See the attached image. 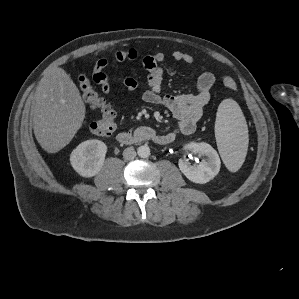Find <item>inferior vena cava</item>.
Instances as JSON below:
<instances>
[{
  "instance_id": "1",
  "label": "inferior vena cava",
  "mask_w": 299,
  "mask_h": 299,
  "mask_svg": "<svg viewBox=\"0 0 299 299\" xmlns=\"http://www.w3.org/2000/svg\"><path fill=\"white\" fill-rule=\"evenodd\" d=\"M123 157L126 160H132L136 157V151L132 147H128L123 151Z\"/></svg>"
}]
</instances>
